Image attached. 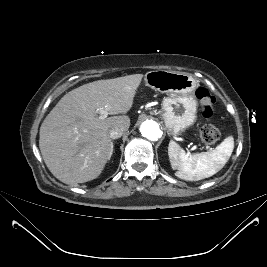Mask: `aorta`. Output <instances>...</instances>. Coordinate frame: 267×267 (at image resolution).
<instances>
[{"instance_id":"obj_1","label":"aorta","mask_w":267,"mask_h":267,"mask_svg":"<svg viewBox=\"0 0 267 267\" xmlns=\"http://www.w3.org/2000/svg\"><path fill=\"white\" fill-rule=\"evenodd\" d=\"M140 131L142 135L151 141H156L161 136L159 125L154 120H145L141 123Z\"/></svg>"}]
</instances>
